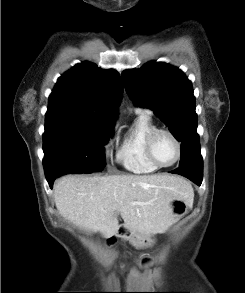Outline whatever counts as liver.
<instances>
[{
	"label": "liver",
	"mask_w": 245,
	"mask_h": 293,
	"mask_svg": "<svg viewBox=\"0 0 245 293\" xmlns=\"http://www.w3.org/2000/svg\"><path fill=\"white\" fill-rule=\"evenodd\" d=\"M193 190L181 177L168 174L66 176L54 186L61 216L73 224L110 238L124 228L145 236L165 233L179 217L171 202L193 204Z\"/></svg>",
	"instance_id": "1"
}]
</instances>
